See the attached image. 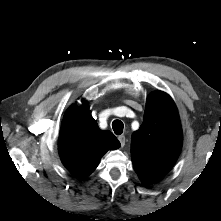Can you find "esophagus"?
<instances>
[{
  "instance_id": "34e87169",
  "label": "esophagus",
  "mask_w": 221,
  "mask_h": 221,
  "mask_svg": "<svg viewBox=\"0 0 221 221\" xmlns=\"http://www.w3.org/2000/svg\"><path fill=\"white\" fill-rule=\"evenodd\" d=\"M118 140L120 141L121 147H124L125 142H126L125 136H124V135H120V136L118 137Z\"/></svg>"
}]
</instances>
